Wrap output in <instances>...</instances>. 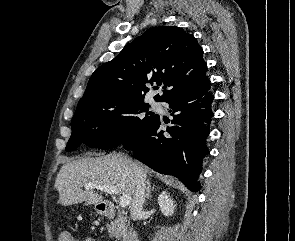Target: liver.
I'll use <instances>...</instances> for the list:
<instances>
[{
    "label": "liver",
    "mask_w": 295,
    "mask_h": 241,
    "mask_svg": "<svg viewBox=\"0 0 295 241\" xmlns=\"http://www.w3.org/2000/svg\"><path fill=\"white\" fill-rule=\"evenodd\" d=\"M133 166L147 173L148 168L120 154H108L98 158H81L67 161L60 169L54 187L63 206L85 202L86 205L103 202V196L94 188L83 190L87 184L116 186L122 195H134Z\"/></svg>",
    "instance_id": "obj_1"
}]
</instances>
